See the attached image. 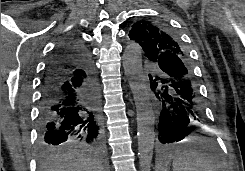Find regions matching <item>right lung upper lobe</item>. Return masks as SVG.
<instances>
[{"instance_id": "obj_1", "label": "right lung upper lobe", "mask_w": 245, "mask_h": 171, "mask_svg": "<svg viewBox=\"0 0 245 171\" xmlns=\"http://www.w3.org/2000/svg\"><path fill=\"white\" fill-rule=\"evenodd\" d=\"M73 41L72 40H68L66 41L62 46V50H69L72 47ZM82 73V70L79 69V67L76 64L73 63H69L66 64L63 69H62V74L63 75H79Z\"/></svg>"}]
</instances>
